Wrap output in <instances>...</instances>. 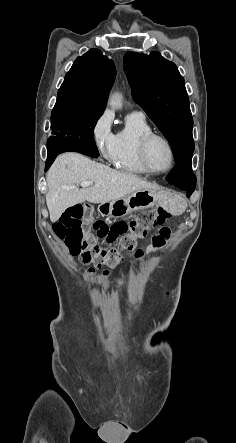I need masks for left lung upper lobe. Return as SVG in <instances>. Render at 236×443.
I'll list each match as a JSON object with an SVG mask.
<instances>
[{"label":"left lung upper lobe","mask_w":236,"mask_h":443,"mask_svg":"<svg viewBox=\"0 0 236 443\" xmlns=\"http://www.w3.org/2000/svg\"><path fill=\"white\" fill-rule=\"evenodd\" d=\"M123 66L135 102L169 141L175 161L192 156L193 118L185 82L176 65L158 52H127Z\"/></svg>","instance_id":"obj_1"}]
</instances>
